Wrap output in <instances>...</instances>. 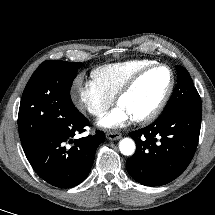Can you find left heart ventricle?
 <instances>
[{"instance_id": "obj_1", "label": "left heart ventricle", "mask_w": 215, "mask_h": 215, "mask_svg": "<svg viewBox=\"0 0 215 215\" xmlns=\"http://www.w3.org/2000/svg\"><path fill=\"white\" fill-rule=\"evenodd\" d=\"M170 74L166 68H156L146 74L118 103L133 117L139 118L151 112L166 92Z\"/></svg>"}]
</instances>
